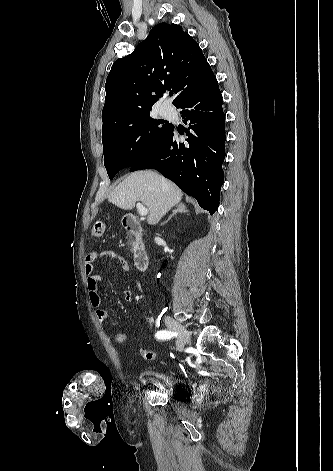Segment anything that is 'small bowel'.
Here are the masks:
<instances>
[{
	"mask_svg": "<svg viewBox=\"0 0 333 471\" xmlns=\"http://www.w3.org/2000/svg\"><path fill=\"white\" fill-rule=\"evenodd\" d=\"M107 258L114 261L124 272L129 273V265L124 257L111 249H104L99 251H91L87 254L84 261L85 273L87 277V289L89 294V301L93 308H95V315L101 324H106L108 320V313L101 308V296L99 293V283L101 275L95 271V262L98 259ZM124 300L130 303L133 299V292L130 286L124 289ZM147 323H152L151 317H146Z\"/></svg>",
	"mask_w": 333,
	"mask_h": 471,
	"instance_id": "small-bowel-1",
	"label": "small bowel"
}]
</instances>
